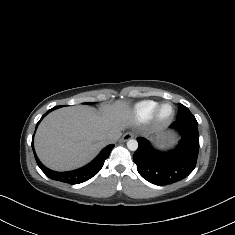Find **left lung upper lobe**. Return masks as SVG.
<instances>
[{
	"mask_svg": "<svg viewBox=\"0 0 235 235\" xmlns=\"http://www.w3.org/2000/svg\"><path fill=\"white\" fill-rule=\"evenodd\" d=\"M178 114L176 117V120H192V121H196L195 117L193 116V114L190 112V110L185 107L182 104H178Z\"/></svg>",
	"mask_w": 235,
	"mask_h": 235,
	"instance_id": "1",
	"label": "left lung upper lobe"
}]
</instances>
